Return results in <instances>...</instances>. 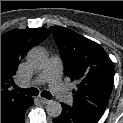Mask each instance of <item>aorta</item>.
<instances>
[{
    "instance_id": "aorta-1",
    "label": "aorta",
    "mask_w": 123,
    "mask_h": 123,
    "mask_svg": "<svg viewBox=\"0 0 123 123\" xmlns=\"http://www.w3.org/2000/svg\"><path fill=\"white\" fill-rule=\"evenodd\" d=\"M26 60L30 67L42 69L47 63V55L43 50L33 48L27 53ZM46 111L50 117L57 118L62 113V106L57 101H50L46 106Z\"/></svg>"
}]
</instances>
